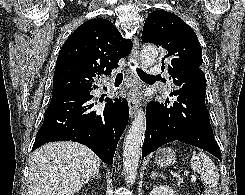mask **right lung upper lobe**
I'll return each mask as SVG.
<instances>
[{"label": "right lung upper lobe", "mask_w": 245, "mask_h": 195, "mask_svg": "<svg viewBox=\"0 0 245 195\" xmlns=\"http://www.w3.org/2000/svg\"><path fill=\"white\" fill-rule=\"evenodd\" d=\"M132 43L106 19L80 25L63 44L57 58L53 95L90 86L94 78L108 75L126 57Z\"/></svg>", "instance_id": "obj_1"}]
</instances>
